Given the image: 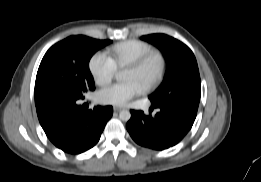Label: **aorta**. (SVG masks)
Returning a JSON list of instances; mask_svg holds the SVG:
<instances>
[{
	"label": "aorta",
	"mask_w": 261,
	"mask_h": 182,
	"mask_svg": "<svg viewBox=\"0 0 261 182\" xmlns=\"http://www.w3.org/2000/svg\"><path fill=\"white\" fill-rule=\"evenodd\" d=\"M116 80H117V81H121V80H122V73H121V72H118V73L116 74ZM119 118H120V120L125 121V122L129 121L130 118H131V113H130V111H128V110H122V111H120V113H119Z\"/></svg>",
	"instance_id": "obj_1"
}]
</instances>
